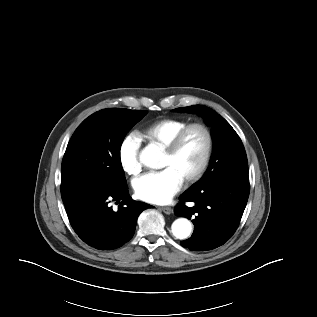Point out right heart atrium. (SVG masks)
Masks as SVG:
<instances>
[{
    "label": "right heart atrium",
    "mask_w": 317,
    "mask_h": 317,
    "mask_svg": "<svg viewBox=\"0 0 317 317\" xmlns=\"http://www.w3.org/2000/svg\"><path fill=\"white\" fill-rule=\"evenodd\" d=\"M140 146V141L134 134L127 135L119 146L118 161L122 170L128 175L135 176L142 169Z\"/></svg>",
    "instance_id": "d8ad5b80"
}]
</instances>
